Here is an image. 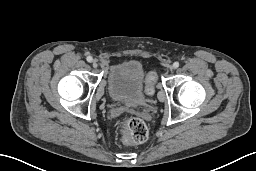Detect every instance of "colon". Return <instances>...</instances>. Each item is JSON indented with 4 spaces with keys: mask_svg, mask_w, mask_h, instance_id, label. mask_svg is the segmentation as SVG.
Here are the masks:
<instances>
[{
    "mask_svg": "<svg viewBox=\"0 0 256 171\" xmlns=\"http://www.w3.org/2000/svg\"><path fill=\"white\" fill-rule=\"evenodd\" d=\"M155 75L149 74L147 77L146 93L153 94V83ZM119 136L126 145L139 144L148 137V127L144 121L135 117H123L119 121Z\"/></svg>",
    "mask_w": 256,
    "mask_h": 171,
    "instance_id": "1",
    "label": "colon"
}]
</instances>
